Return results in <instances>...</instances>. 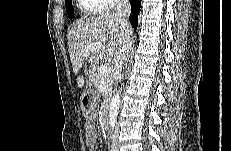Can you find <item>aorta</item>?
<instances>
[{"instance_id": "obj_1", "label": "aorta", "mask_w": 231, "mask_h": 151, "mask_svg": "<svg viewBox=\"0 0 231 151\" xmlns=\"http://www.w3.org/2000/svg\"><path fill=\"white\" fill-rule=\"evenodd\" d=\"M119 105H120V95L119 92H117L111 100L110 109H109V123L112 130H114L116 125Z\"/></svg>"}]
</instances>
